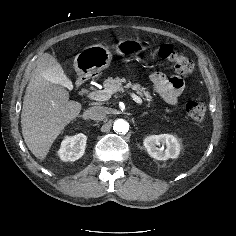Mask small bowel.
<instances>
[{
  "label": "small bowel",
  "mask_w": 236,
  "mask_h": 236,
  "mask_svg": "<svg viewBox=\"0 0 236 236\" xmlns=\"http://www.w3.org/2000/svg\"><path fill=\"white\" fill-rule=\"evenodd\" d=\"M150 82L154 91L167 103L177 105L179 96L184 90V81L179 77H168L162 72L150 75Z\"/></svg>",
  "instance_id": "obj_1"
}]
</instances>
